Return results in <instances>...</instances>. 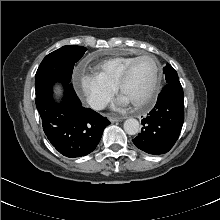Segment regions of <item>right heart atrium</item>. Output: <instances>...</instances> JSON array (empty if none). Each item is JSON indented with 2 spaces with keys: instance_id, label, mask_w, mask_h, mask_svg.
<instances>
[{
  "instance_id": "obj_1",
  "label": "right heart atrium",
  "mask_w": 220,
  "mask_h": 220,
  "mask_svg": "<svg viewBox=\"0 0 220 220\" xmlns=\"http://www.w3.org/2000/svg\"><path fill=\"white\" fill-rule=\"evenodd\" d=\"M74 85L78 95L94 110L104 109L116 93V87L96 74L77 73L74 76Z\"/></svg>"
}]
</instances>
